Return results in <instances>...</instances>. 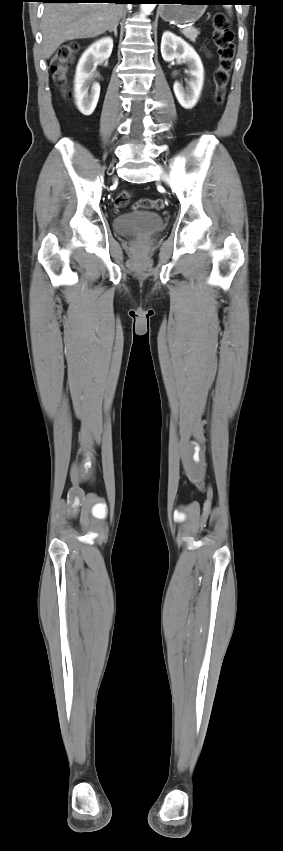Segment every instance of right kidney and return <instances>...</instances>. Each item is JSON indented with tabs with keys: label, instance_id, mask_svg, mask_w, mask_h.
Returning a JSON list of instances; mask_svg holds the SVG:
<instances>
[{
	"label": "right kidney",
	"instance_id": "1",
	"mask_svg": "<svg viewBox=\"0 0 283 851\" xmlns=\"http://www.w3.org/2000/svg\"><path fill=\"white\" fill-rule=\"evenodd\" d=\"M113 49L110 37L94 42L81 56L75 74L74 93L78 110L85 116L91 115L97 105L100 95V85L92 83L93 72L99 59L107 60ZM90 89V90H89Z\"/></svg>",
	"mask_w": 283,
	"mask_h": 851
}]
</instances>
